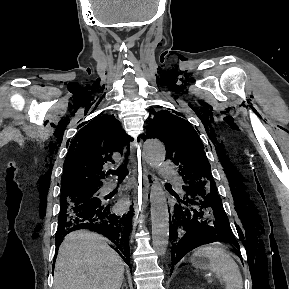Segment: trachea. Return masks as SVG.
Here are the masks:
<instances>
[{
	"label": "trachea",
	"instance_id": "3493384b",
	"mask_svg": "<svg viewBox=\"0 0 289 289\" xmlns=\"http://www.w3.org/2000/svg\"><path fill=\"white\" fill-rule=\"evenodd\" d=\"M128 160H129V152L125 154L124 164H122L115 171H113V170L108 171L107 174L117 175L119 181L123 180L125 178V176L128 174V168H127Z\"/></svg>",
	"mask_w": 289,
	"mask_h": 289
}]
</instances>
